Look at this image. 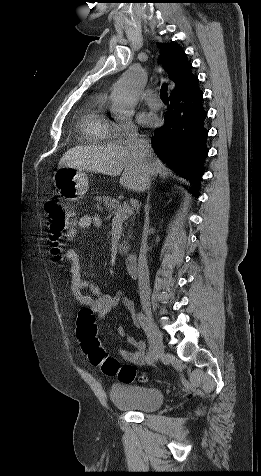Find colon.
<instances>
[{
	"label": "colon",
	"instance_id": "obj_1",
	"mask_svg": "<svg viewBox=\"0 0 261 476\" xmlns=\"http://www.w3.org/2000/svg\"><path fill=\"white\" fill-rule=\"evenodd\" d=\"M45 212L51 239V254L56 261H60L62 237L66 229L74 224V213L59 197H51L46 201ZM77 336L92 365L99 367L108 376L118 377L121 382L135 380L136 369L131 365H120L101 346L97 338L96 316L89 308H83L79 312Z\"/></svg>",
	"mask_w": 261,
	"mask_h": 476
}]
</instances>
